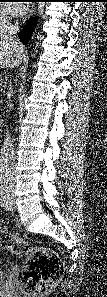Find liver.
Returning a JSON list of instances; mask_svg holds the SVG:
<instances>
[{"mask_svg":"<svg viewBox=\"0 0 107 297\" xmlns=\"http://www.w3.org/2000/svg\"><path fill=\"white\" fill-rule=\"evenodd\" d=\"M24 48L19 42L12 43L6 37L0 36V67L14 68L23 59Z\"/></svg>","mask_w":107,"mask_h":297,"instance_id":"1","label":"liver"}]
</instances>
